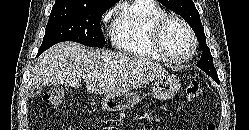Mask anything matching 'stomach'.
<instances>
[{
    "mask_svg": "<svg viewBox=\"0 0 249 130\" xmlns=\"http://www.w3.org/2000/svg\"><path fill=\"white\" fill-rule=\"evenodd\" d=\"M180 89L179 82L169 75L159 77L153 83L151 95L158 100H168L175 96ZM138 92L107 94L101 100L102 109L108 112H117L131 109L140 102Z\"/></svg>",
    "mask_w": 249,
    "mask_h": 130,
    "instance_id": "obj_1",
    "label": "stomach"
}]
</instances>
